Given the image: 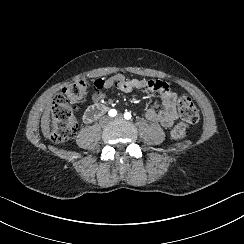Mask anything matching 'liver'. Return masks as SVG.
<instances>
[{"label":"liver","instance_id":"liver-1","mask_svg":"<svg viewBox=\"0 0 244 244\" xmlns=\"http://www.w3.org/2000/svg\"><path fill=\"white\" fill-rule=\"evenodd\" d=\"M52 111V105H48L41 118V130L45 138L50 136V112Z\"/></svg>","mask_w":244,"mask_h":244}]
</instances>
